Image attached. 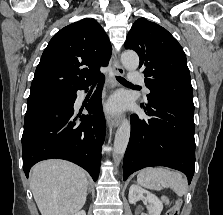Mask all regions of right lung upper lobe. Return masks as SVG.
I'll use <instances>...</instances> for the list:
<instances>
[{
	"mask_svg": "<svg viewBox=\"0 0 223 215\" xmlns=\"http://www.w3.org/2000/svg\"><path fill=\"white\" fill-rule=\"evenodd\" d=\"M110 56L111 44L96 20L72 23L57 32L45 48L30 94L75 93L102 75L99 68L108 65Z\"/></svg>",
	"mask_w": 223,
	"mask_h": 215,
	"instance_id": "1",
	"label": "right lung upper lobe"
}]
</instances>
